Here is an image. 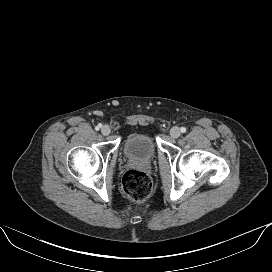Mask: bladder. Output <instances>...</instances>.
Listing matches in <instances>:
<instances>
[{
  "instance_id": "31cf9c89",
  "label": "bladder",
  "mask_w": 272,
  "mask_h": 272,
  "mask_svg": "<svg viewBox=\"0 0 272 272\" xmlns=\"http://www.w3.org/2000/svg\"><path fill=\"white\" fill-rule=\"evenodd\" d=\"M156 151L154 138L146 132L131 134L123 145L124 155L135 161H149L155 157Z\"/></svg>"
}]
</instances>
